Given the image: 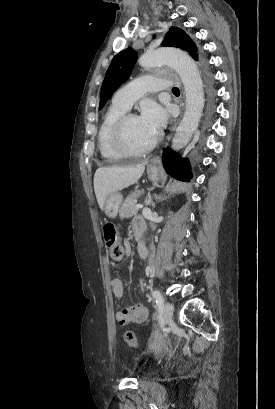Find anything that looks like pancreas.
<instances>
[{"label": "pancreas", "instance_id": "1", "mask_svg": "<svg viewBox=\"0 0 275 409\" xmlns=\"http://www.w3.org/2000/svg\"><path fill=\"white\" fill-rule=\"evenodd\" d=\"M144 188L142 190H134V192H131L127 198H125L122 207H120V217L121 219H127V217H132V215H135L137 213L138 209H136V198L142 194Z\"/></svg>", "mask_w": 275, "mask_h": 409}]
</instances>
